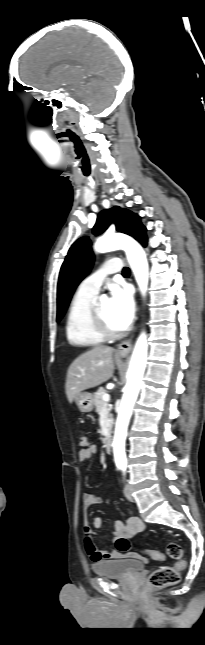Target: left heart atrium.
I'll use <instances>...</instances> for the list:
<instances>
[{
	"label": "left heart atrium",
	"mask_w": 205,
	"mask_h": 645,
	"mask_svg": "<svg viewBox=\"0 0 205 645\" xmlns=\"http://www.w3.org/2000/svg\"><path fill=\"white\" fill-rule=\"evenodd\" d=\"M114 320L120 330L126 329L132 322L135 313V302L127 288L114 286L109 300Z\"/></svg>",
	"instance_id": "1"
}]
</instances>
